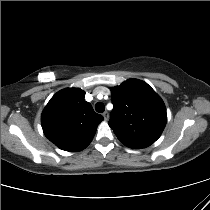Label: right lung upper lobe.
I'll return each instance as SVG.
<instances>
[{"instance_id": "cb5924a9", "label": "right lung upper lobe", "mask_w": 210, "mask_h": 210, "mask_svg": "<svg viewBox=\"0 0 210 210\" xmlns=\"http://www.w3.org/2000/svg\"><path fill=\"white\" fill-rule=\"evenodd\" d=\"M84 97L85 92L79 88L63 89L51 98L42 112L45 136L62 150L77 152L86 148L103 120Z\"/></svg>"}]
</instances>
